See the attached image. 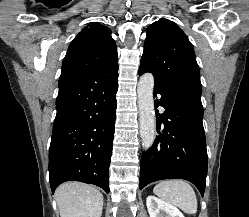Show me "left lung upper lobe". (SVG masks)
Listing matches in <instances>:
<instances>
[{
    "label": "left lung upper lobe",
    "instance_id": "left-lung-upper-lobe-1",
    "mask_svg": "<svg viewBox=\"0 0 249 217\" xmlns=\"http://www.w3.org/2000/svg\"><path fill=\"white\" fill-rule=\"evenodd\" d=\"M139 71L152 72L157 85L201 95L194 48L178 25L168 19H159L147 28Z\"/></svg>",
    "mask_w": 249,
    "mask_h": 217
}]
</instances>
